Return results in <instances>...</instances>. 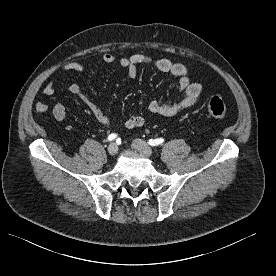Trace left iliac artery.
Wrapping results in <instances>:
<instances>
[{
    "label": "left iliac artery",
    "mask_w": 276,
    "mask_h": 276,
    "mask_svg": "<svg viewBox=\"0 0 276 276\" xmlns=\"http://www.w3.org/2000/svg\"><path fill=\"white\" fill-rule=\"evenodd\" d=\"M163 142H164L163 138H158V139H154V140L150 139L149 140V145L158 146V145H161Z\"/></svg>",
    "instance_id": "obj_1"
}]
</instances>
